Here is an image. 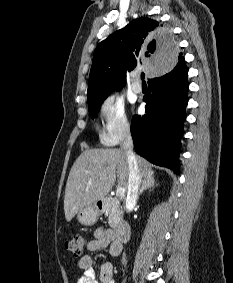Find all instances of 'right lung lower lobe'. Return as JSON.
I'll return each mask as SVG.
<instances>
[{
  "label": "right lung lower lobe",
  "instance_id": "obj_1",
  "mask_svg": "<svg viewBox=\"0 0 233 283\" xmlns=\"http://www.w3.org/2000/svg\"><path fill=\"white\" fill-rule=\"evenodd\" d=\"M188 69L180 58L171 70L149 81L143 98L146 114L134 115L131 135L136 152L150 162L179 173L178 154L188 102Z\"/></svg>",
  "mask_w": 233,
  "mask_h": 283
}]
</instances>
